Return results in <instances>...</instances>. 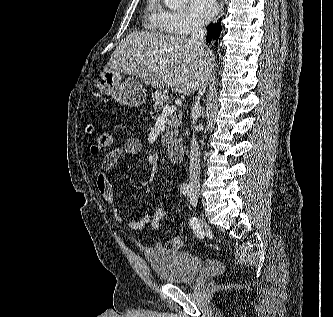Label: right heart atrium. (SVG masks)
<instances>
[{
    "label": "right heart atrium",
    "instance_id": "obj_1",
    "mask_svg": "<svg viewBox=\"0 0 333 317\" xmlns=\"http://www.w3.org/2000/svg\"><path fill=\"white\" fill-rule=\"evenodd\" d=\"M166 26L169 32L177 35L188 34L198 27L186 13L175 11L167 12Z\"/></svg>",
    "mask_w": 333,
    "mask_h": 317
}]
</instances>
